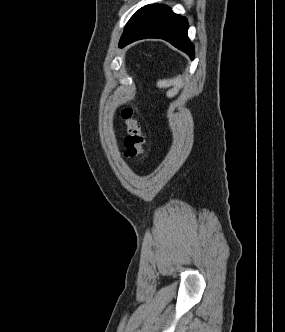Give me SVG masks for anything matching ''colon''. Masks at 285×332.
<instances>
[{"label":"colon","mask_w":285,"mask_h":332,"mask_svg":"<svg viewBox=\"0 0 285 332\" xmlns=\"http://www.w3.org/2000/svg\"><path fill=\"white\" fill-rule=\"evenodd\" d=\"M126 127L123 156L128 160H137L144 154V137L140 124L131 108L122 112Z\"/></svg>","instance_id":"colon-1"}]
</instances>
